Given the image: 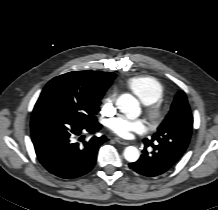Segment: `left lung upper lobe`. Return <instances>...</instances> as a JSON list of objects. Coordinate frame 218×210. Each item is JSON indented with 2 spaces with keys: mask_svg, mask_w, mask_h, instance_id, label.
<instances>
[{
  "mask_svg": "<svg viewBox=\"0 0 218 210\" xmlns=\"http://www.w3.org/2000/svg\"><path fill=\"white\" fill-rule=\"evenodd\" d=\"M193 117L184 91L175 96L170 112L150 139L164 151L184 153L192 134Z\"/></svg>",
  "mask_w": 218,
  "mask_h": 210,
  "instance_id": "obj_1",
  "label": "left lung upper lobe"
}]
</instances>
